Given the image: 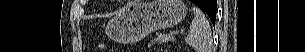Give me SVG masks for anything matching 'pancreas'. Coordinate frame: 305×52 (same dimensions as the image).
Masks as SVG:
<instances>
[{
    "label": "pancreas",
    "mask_w": 305,
    "mask_h": 52,
    "mask_svg": "<svg viewBox=\"0 0 305 52\" xmlns=\"http://www.w3.org/2000/svg\"><path fill=\"white\" fill-rule=\"evenodd\" d=\"M170 41H173V38H171L170 36L168 35H165V34H160V35H157V37L153 40L152 43H168Z\"/></svg>",
    "instance_id": "1"
}]
</instances>
